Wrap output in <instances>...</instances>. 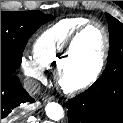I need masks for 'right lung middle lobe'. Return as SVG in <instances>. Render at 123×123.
Instances as JSON below:
<instances>
[{"instance_id":"obj_1","label":"right lung middle lobe","mask_w":123,"mask_h":123,"mask_svg":"<svg viewBox=\"0 0 123 123\" xmlns=\"http://www.w3.org/2000/svg\"><path fill=\"white\" fill-rule=\"evenodd\" d=\"M54 17L41 11L1 12V73L14 74L28 39Z\"/></svg>"}]
</instances>
